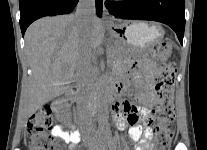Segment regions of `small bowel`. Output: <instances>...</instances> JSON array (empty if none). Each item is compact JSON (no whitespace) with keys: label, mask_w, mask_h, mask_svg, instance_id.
<instances>
[{"label":"small bowel","mask_w":207,"mask_h":150,"mask_svg":"<svg viewBox=\"0 0 207 150\" xmlns=\"http://www.w3.org/2000/svg\"><path fill=\"white\" fill-rule=\"evenodd\" d=\"M133 68V78L139 88L137 100L142 106H134L127 101H116L112 106L113 119L120 129L128 128V134L132 141L140 142L135 150H152V144L148 140L152 136L149 128H143V122L149 119V109L157 102V96L153 88V74L156 70L154 62L143 60L138 63L124 62L120 66V71ZM123 90L122 84L115 85V92ZM52 135L62 140L69 146V150H74L81 140V134L74 130L64 129L56 126L52 130ZM142 136L145 139H141ZM116 145H122V140H116ZM129 149L128 145L124 146Z\"/></svg>","instance_id":"obj_1"}]
</instances>
